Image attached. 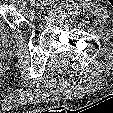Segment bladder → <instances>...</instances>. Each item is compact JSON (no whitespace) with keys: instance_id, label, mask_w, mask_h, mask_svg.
Wrapping results in <instances>:
<instances>
[{"instance_id":"obj_1","label":"bladder","mask_w":113,"mask_h":113,"mask_svg":"<svg viewBox=\"0 0 113 113\" xmlns=\"http://www.w3.org/2000/svg\"><path fill=\"white\" fill-rule=\"evenodd\" d=\"M11 39V32L8 26L0 17V48L7 45Z\"/></svg>"}]
</instances>
